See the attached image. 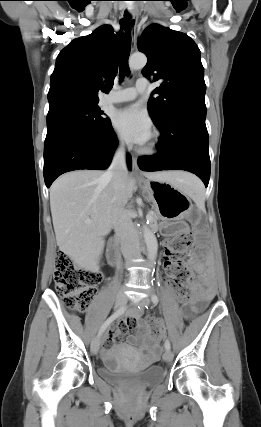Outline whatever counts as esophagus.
<instances>
[{
  "mask_svg": "<svg viewBox=\"0 0 261 427\" xmlns=\"http://www.w3.org/2000/svg\"><path fill=\"white\" fill-rule=\"evenodd\" d=\"M129 12L131 15V19H130V33H131V37H132L131 47H132V49H134V47H135V36H136L135 30H136V24H137V14H136V11L134 9H130ZM132 166H133L134 176L135 177H141V172H140V169L138 167L136 157L132 158Z\"/></svg>",
  "mask_w": 261,
  "mask_h": 427,
  "instance_id": "esophagus-1",
  "label": "esophagus"
}]
</instances>
